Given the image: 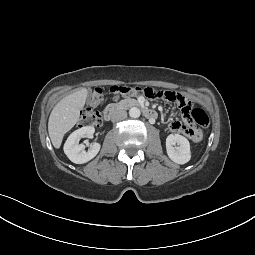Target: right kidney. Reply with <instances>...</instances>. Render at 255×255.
Wrapping results in <instances>:
<instances>
[{
  "label": "right kidney",
  "instance_id": "ca27d5eb",
  "mask_svg": "<svg viewBox=\"0 0 255 255\" xmlns=\"http://www.w3.org/2000/svg\"><path fill=\"white\" fill-rule=\"evenodd\" d=\"M94 132V127L85 126L70 134L64 144V152L73 163H86L98 154L101 147L99 143H93L88 151L84 150L85 146L83 144H79L82 137H92Z\"/></svg>",
  "mask_w": 255,
  "mask_h": 255
}]
</instances>
